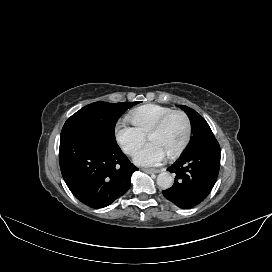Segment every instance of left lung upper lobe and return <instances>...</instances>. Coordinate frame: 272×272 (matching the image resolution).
I'll list each match as a JSON object with an SVG mask.
<instances>
[{
  "instance_id": "5c2ea615",
  "label": "left lung upper lobe",
  "mask_w": 272,
  "mask_h": 272,
  "mask_svg": "<svg viewBox=\"0 0 272 272\" xmlns=\"http://www.w3.org/2000/svg\"><path fill=\"white\" fill-rule=\"evenodd\" d=\"M178 107L187 113L191 121L193 136L191 137L187 150L215 139L208 123L201 115L185 105H178Z\"/></svg>"
}]
</instances>
